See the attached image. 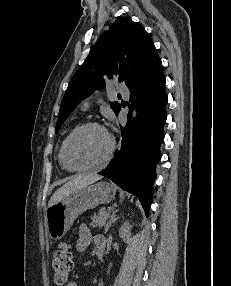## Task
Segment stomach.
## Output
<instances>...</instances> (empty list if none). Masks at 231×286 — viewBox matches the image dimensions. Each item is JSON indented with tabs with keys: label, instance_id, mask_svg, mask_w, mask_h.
<instances>
[{
	"label": "stomach",
	"instance_id": "0dacf381",
	"mask_svg": "<svg viewBox=\"0 0 231 286\" xmlns=\"http://www.w3.org/2000/svg\"><path fill=\"white\" fill-rule=\"evenodd\" d=\"M115 187L105 181L78 189L46 210V230L51 240H60L84 211L112 201Z\"/></svg>",
	"mask_w": 231,
	"mask_h": 286
}]
</instances>
